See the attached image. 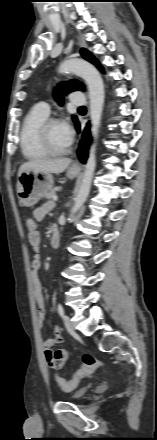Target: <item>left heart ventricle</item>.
Instances as JSON below:
<instances>
[{
    "instance_id": "1",
    "label": "left heart ventricle",
    "mask_w": 157,
    "mask_h": 440,
    "mask_svg": "<svg viewBox=\"0 0 157 440\" xmlns=\"http://www.w3.org/2000/svg\"><path fill=\"white\" fill-rule=\"evenodd\" d=\"M49 138L54 148L63 149L69 146V142L64 137L59 123L50 126Z\"/></svg>"
}]
</instances>
